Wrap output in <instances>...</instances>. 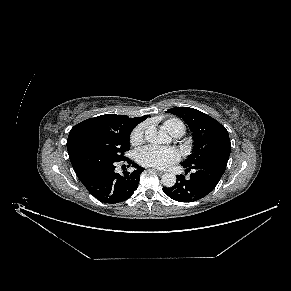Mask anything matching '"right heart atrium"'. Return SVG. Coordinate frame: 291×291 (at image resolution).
<instances>
[{
	"label": "right heart atrium",
	"instance_id": "1",
	"mask_svg": "<svg viewBox=\"0 0 291 291\" xmlns=\"http://www.w3.org/2000/svg\"><path fill=\"white\" fill-rule=\"evenodd\" d=\"M145 125L137 126L130 135V143L137 146L142 143L144 139Z\"/></svg>",
	"mask_w": 291,
	"mask_h": 291
}]
</instances>
